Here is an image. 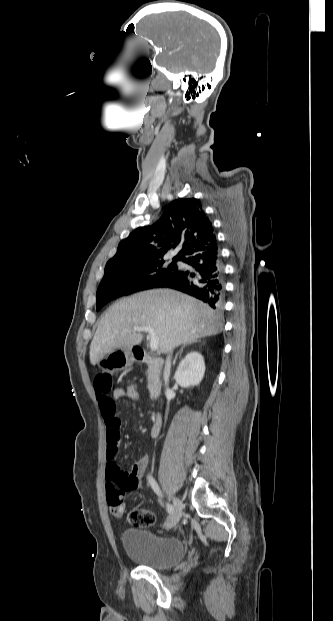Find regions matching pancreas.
<instances>
[{"label": "pancreas", "instance_id": "cf45deb5", "mask_svg": "<svg viewBox=\"0 0 333 621\" xmlns=\"http://www.w3.org/2000/svg\"><path fill=\"white\" fill-rule=\"evenodd\" d=\"M158 379L159 375L156 370L149 369L148 370V379H147V387L150 392L151 399L156 397V392L158 390Z\"/></svg>", "mask_w": 333, "mask_h": 621}]
</instances>
